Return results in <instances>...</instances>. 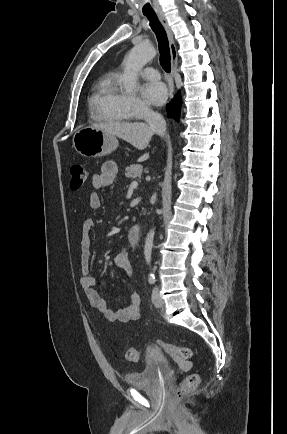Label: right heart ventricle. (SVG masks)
<instances>
[{
  "label": "right heart ventricle",
  "mask_w": 287,
  "mask_h": 434,
  "mask_svg": "<svg viewBox=\"0 0 287 434\" xmlns=\"http://www.w3.org/2000/svg\"><path fill=\"white\" fill-rule=\"evenodd\" d=\"M122 96L117 85V75L113 72L102 75L95 82L89 98L92 118L103 122L128 121L130 115L122 106Z\"/></svg>",
  "instance_id": "e07e8e85"
}]
</instances>
